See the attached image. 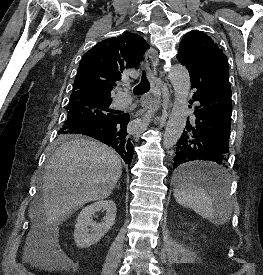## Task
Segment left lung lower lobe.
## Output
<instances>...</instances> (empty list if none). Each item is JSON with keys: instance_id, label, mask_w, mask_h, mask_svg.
<instances>
[{"instance_id": "0a47b994", "label": "left lung lower lobe", "mask_w": 263, "mask_h": 275, "mask_svg": "<svg viewBox=\"0 0 263 275\" xmlns=\"http://www.w3.org/2000/svg\"><path fill=\"white\" fill-rule=\"evenodd\" d=\"M190 78L192 88L196 89L190 103L198 101L199 105L195 107V123L187 119L186 129L177 142L173 169L179 181L199 182L216 192L222 175L193 162L213 161L225 166L228 161L232 115L229 74L201 77L190 73Z\"/></svg>"}]
</instances>
